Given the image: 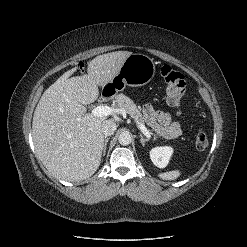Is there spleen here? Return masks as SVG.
<instances>
[{
	"label": "spleen",
	"mask_w": 247,
	"mask_h": 247,
	"mask_svg": "<svg viewBox=\"0 0 247 247\" xmlns=\"http://www.w3.org/2000/svg\"><path fill=\"white\" fill-rule=\"evenodd\" d=\"M181 175L179 170H172L164 173H160L159 177L163 180H175Z\"/></svg>",
	"instance_id": "1"
}]
</instances>
